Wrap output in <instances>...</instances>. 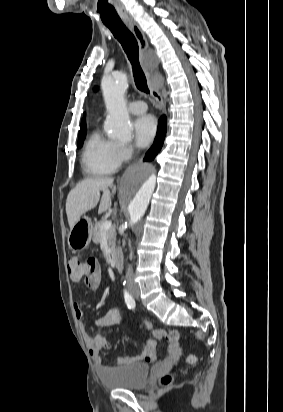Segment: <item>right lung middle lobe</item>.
<instances>
[{"instance_id": "right-lung-middle-lobe-1", "label": "right lung middle lobe", "mask_w": 283, "mask_h": 412, "mask_svg": "<svg viewBox=\"0 0 283 412\" xmlns=\"http://www.w3.org/2000/svg\"><path fill=\"white\" fill-rule=\"evenodd\" d=\"M84 138H85V134L79 135L78 147H81Z\"/></svg>"}]
</instances>
